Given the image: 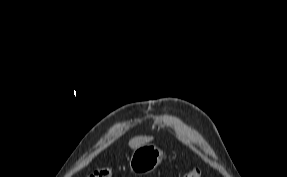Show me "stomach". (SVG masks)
<instances>
[{"label": "stomach", "instance_id": "0dacf381", "mask_svg": "<svg viewBox=\"0 0 287 177\" xmlns=\"http://www.w3.org/2000/svg\"><path fill=\"white\" fill-rule=\"evenodd\" d=\"M163 152L153 144H144L134 149L129 166L135 174H149L162 161Z\"/></svg>", "mask_w": 287, "mask_h": 177}]
</instances>
